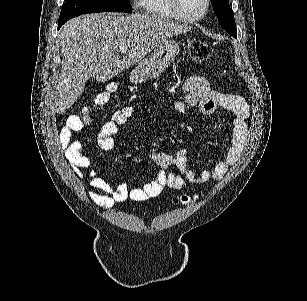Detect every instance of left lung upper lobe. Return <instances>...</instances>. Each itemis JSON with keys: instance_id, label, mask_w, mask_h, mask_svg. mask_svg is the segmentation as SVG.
Returning a JSON list of instances; mask_svg holds the SVG:
<instances>
[{"instance_id": "5c2ea615", "label": "left lung upper lobe", "mask_w": 307, "mask_h": 301, "mask_svg": "<svg viewBox=\"0 0 307 301\" xmlns=\"http://www.w3.org/2000/svg\"><path fill=\"white\" fill-rule=\"evenodd\" d=\"M213 10L217 14L220 25L233 37L237 38L234 15L229 6V0H211Z\"/></svg>"}]
</instances>
